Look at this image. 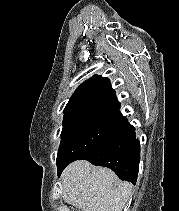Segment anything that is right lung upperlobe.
I'll use <instances>...</instances> for the list:
<instances>
[{"instance_id": "obj_1", "label": "right lung upper lobe", "mask_w": 179, "mask_h": 211, "mask_svg": "<svg viewBox=\"0 0 179 211\" xmlns=\"http://www.w3.org/2000/svg\"><path fill=\"white\" fill-rule=\"evenodd\" d=\"M119 109L109 79L95 75L75 90L64 109V117L81 112H119Z\"/></svg>"}]
</instances>
